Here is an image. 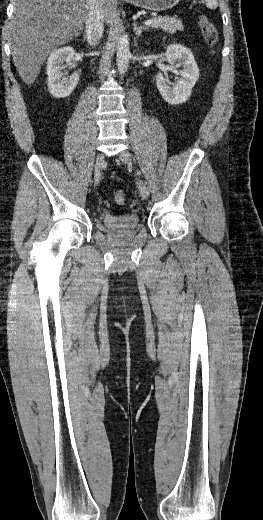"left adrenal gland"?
<instances>
[{
  "mask_svg": "<svg viewBox=\"0 0 263 520\" xmlns=\"http://www.w3.org/2000/svg\"><path fill=\"white\" fill-rule=\"evenodd\" d=\"M133 30H134V33L137 37H140V35L142 34L143 31H149V27L148 26H142V25H138L136 22L133 23Z\"/></svg>",
  "mask_w": 263,
  "mask_h": 520,
  "instance_id": "obj_1",
  "label": "left adrenal gland"
}]
</instances>
